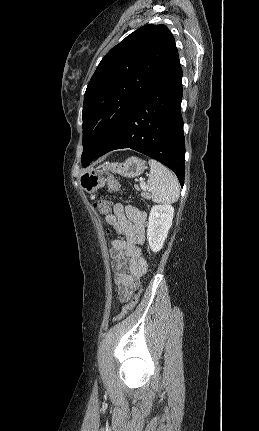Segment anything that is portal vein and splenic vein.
Masks as SVG:
<instances>
[{
    "mask_svg": "<svg viewBox=\"0 0 259 431\" xmlns=\"http://www.w3.org/2000/svg\"><path fill=\"white\" fill-rule=\"evenodd\" d=\"M141 186H142V188H146L143 180H141Z\"/></svg>",
    "mask_w": 259,
    "mask_h": 431,
    "instance_id": "1",
    "label": "portal vein and splenic vein"
}]
</instances>
